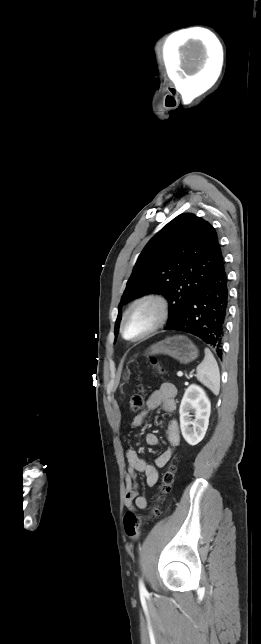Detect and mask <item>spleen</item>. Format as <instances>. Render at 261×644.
<instances>
[{
	"mask_svg": "<svg viewBox=\"0 0 261 644\" xmlns=\"http://www.w3.org/2000/svg\"><path fill=\"white\" fill-rule=\"evenodd\" d=\"M204 360L197 367L196 377L199 382L209 388L213 394L220 391V372L218 364L208 348H205Z\"/></svg>",
	"mask_w": 261,
	"mask_h": 644,
	"instance_id": "obj_1",
	"label": "spleen"
}]
</instances>
